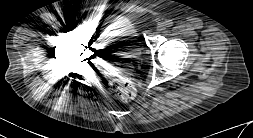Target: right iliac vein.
<instances>
[{"mask_svg":"<svg viewBox=\"0 0 253 138\" xmlns=\"http://www.w3.org/2000/svg\"><path fill=\"white\" fill-rule=\"evenodd\" d=\"M71 29H72L73 31H76V30L78 29V25H77L76 23H73V24L71 25Z\"/></svg>","mask_w":253,"mask_h":138,"instance_id":"63e3f726","label":"right iliac vein"}]
</instances>
